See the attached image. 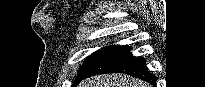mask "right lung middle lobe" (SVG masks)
Masks as SVG:
<instances>
[{
    "label": "right lung middle lobe",
    "instance_id": "obj_1",
    "mask_svg": "<svg viewBox=\"0 0 205 87\" xmlns=\"http://www.w3.org/2000/svg\"><path fill=\"white\" fill-rule=\"evenodd\" d=\"M119 45L115 46H107L104 47L97 52L93 53L91 56H89L83 63L82 66H80L78 74L76 79L73 82L72 87H75L84 77V75L96 64L98 63L102 58L107 56L109 53H111L113 50L118 48Z\"/></svg>",
    "mask_w": 205,
    "mask_h": 87
}]
</instances>
